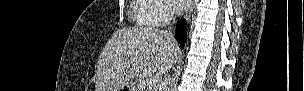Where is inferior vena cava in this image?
<instances>
[{
  "mask_svg": "<svg viewBox=\"0 0 304 91\" xmlns=\"http://www.w3.org/2000/svg\"><path fill=\"white\" fill-rule=\"evenodd\" d=\"M170 30H171V27L169 28V32H166V33L168 34V36H169L172 40H174V36H173V34L170 32ZM168 82H169V80H168V78H167V75L165 74V78H164V80L162 81L161 86H160V91H166L167 86H168Z\"/></svg>",
  "mask_w": 304,
  "mask_h": 91,
  "instance_id": "602c4592",
  "label": "inferior vena cava"
}]
</instances>
